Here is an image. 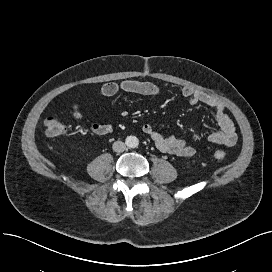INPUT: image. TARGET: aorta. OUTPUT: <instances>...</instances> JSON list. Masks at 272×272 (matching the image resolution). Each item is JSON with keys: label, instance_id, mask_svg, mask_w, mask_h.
<instances>
[{"label": "aorta", "instance_id": "762f6f07", "mask_svg": "<svg viewBox=\"0 0 272 272\" xmlns=\"http://www.w3.org/2000/svg\"><path fill=\"white\" fill-rule=\"evenodd\" d=\"M126 144L129 148H136L139 145V139L136 136H128L126 138Z\"/></svg>", "mask_w": 272, "mask_h": 272}]
</instances>
